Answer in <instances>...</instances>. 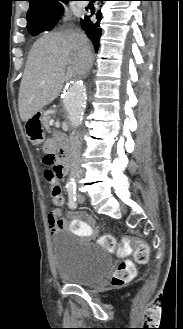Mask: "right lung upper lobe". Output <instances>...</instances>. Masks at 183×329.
<instances>
[{"instance_id": "obj_1", "label": "right lung upper lobe", "mask_w": 183, "mask_h": 329, "mask_svg": "<svg viewBox=\"0 0 183 329\" xmlns=\"http://www.w3.org/2000/svg\"><path fill=\"white\" fill-rule=\"evenodd\" d=\"M30 7L27 13V21L29 28L33 24L54 20L62 8L60 2H68L70 0H28Z\"/></svg>"}]
</instances>
